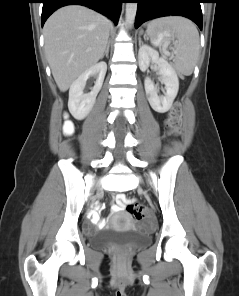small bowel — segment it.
I'll list each match as a JSON object with an SVG mask.
<instances>
[{
	"mask_svg": "<svg viewBox=\"0 0 239 296\" xmlns=\"http://www.w3.org/2000/svg\"><path fill=\"white\" fill-rule=\"evenodd\" d=\"M126 201V196L123 194H120L117 196V204L113 206V211L114 212H118L122 209L124 202ZM90 219L92 221L93 224L95 225H101L102 224V220L98 214L97 211H92L90 213Z\"/></svg>",
	"mask_w": 239,
	"mask_h": 296,
	"instance_id": "c3829d8e",
	"label": "small bowel"
}]
</instances>
